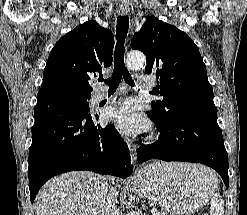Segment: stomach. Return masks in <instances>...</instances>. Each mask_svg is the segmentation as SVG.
<instances>
[{"label": "stomach", "instance_id": "1", "mask_svg": "<svg viewBox=\"0 0 247 215\" xmlns=\"http://www.w3.org/2000/svg\"><path fill=\"white\" fill-rule=\"evenodd\" d=\"M193 166L155 161L138 173L135 188L172 215L193 214L210 199L217 186L215 174Z\"/></svg>", "mask_w": 247, "mask_h": 215}]
</instances>
